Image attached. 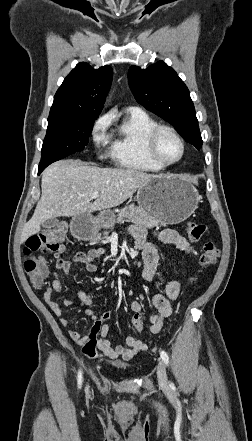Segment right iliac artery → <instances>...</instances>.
Listing matches in <instances>:
<instances>
[{
  "mask_svg": "<svg viewBox=\"0 0 252 441\" xmlns=\"http://www.w3.org/2000/svg\"><path fill=\"white\" fill-rule=\"evenodd\" d=\"M81 384H82V372L79 371L78 372V385H79V387L81 386Z\"/></svg>",
  "mask_w": 252,
  "mask_h": 441,
  "instance_id": "obj_1",
  "label": "right iliac artery"
}]
</instances>
